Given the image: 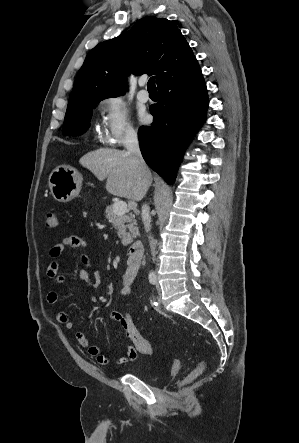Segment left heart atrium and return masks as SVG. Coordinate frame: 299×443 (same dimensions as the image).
<instances>
[{
	"mask_svg": "<svg viewBox=\"0 0 299 443\" xmlns=\"http://www.w3.org/2000/svg\"><path fill=\"white\" fill-rule=\"evenodd\" d=\"M139 118H140L141 122H145L147 119V115L142 112V113H140Z\"/></svg>",
	"mask_w": 299,
	"mask_h": 443,
	"instance_id": "left-heart-atrium-1",
	"label": "left heart atrium"
}]
</instances>
